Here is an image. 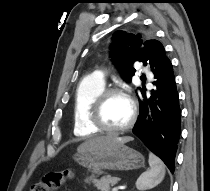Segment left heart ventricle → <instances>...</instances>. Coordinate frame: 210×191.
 Listing matches in <instances>:
<instances>
[{"label":"left heart ventricle","instance_id":"1","mask_svg":"<svg viewBox=\"0 0 210 191\" xmlns=\"http://www.w3.org/2000/svg\"><path fill=\"white\" fill-rule=\"evenodd\" d=\"M131 105L128 99L122 95L110 96L102 111V117L108 127H122L129 121Z\"/></svg>","mask_w":210,"mask_h":191}]
</instances>
